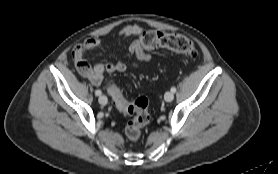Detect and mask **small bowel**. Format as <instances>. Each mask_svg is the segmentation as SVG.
Segmentation results:
<instances>
[{
  "mask_svg": "<svg viewBox=\"0 0 278 174\" xmlns=\"http://www.w3.org/2000/svg\"><path fill=\"white\" fill-rule=\"evenodd\" d=\"M142 33V28L136 24H130L124 26L119 34L123 38H133L137 37ZM102 40L99 37H91L87 39L82 45H79L74 50V59L76 63V68L79 74L87 78L90 83L94 86H100L103 81L104 73H115V72H125L127 70V65L125 61L119 60L117 62H107L105 64L95 63L93 66H90L88 62H83L81 57V49L91 50L95 49L101 45ZM136 56L140 61H150L152 55L146 52L139 40H134L130 43L128 47L127 56ZM134 68L138 67L137 63H133Z\"/></svg>",
  "mask_w": 278,
  "mask_h": 174,
  "instance_id": "small-bowel-1",
  "label": "small bowel"
}]
</instances>
